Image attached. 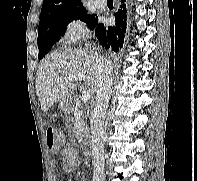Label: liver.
I'll list each match as a JSON object with an SVG mask.
<instances>
[{
	"mask_svg": "<svg viewBox=\"0 0 197 181\" xmlns=\"http://www.w3.org/2000/svg\"><path fill=\"white\" fill-rule=\"evenodd\" d=\"M98 57V54L87 49L69 48L44 58L39 64L36 78V94L42 111L47 112L54 103L69 98L76 89L75 83L66 80L58 82L57 78L86 74L89 91L96 93L99 81Z\"/></svg>",
	"mask_w": 197,
	"mask_h": 181,
	"instance_id": "6515ba94",
	"label": "liver"
}]
</instances>
